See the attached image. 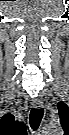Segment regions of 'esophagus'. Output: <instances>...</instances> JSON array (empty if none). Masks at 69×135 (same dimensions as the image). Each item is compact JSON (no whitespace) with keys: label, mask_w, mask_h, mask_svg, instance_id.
I'll list each match as a JSON object with an SVG mask.
<instances>
[{"label":"esophagus","mask_w":69,"mask_h":135,"mask_svg":"<svg viewBox=\"0 0 69 135\" xmlns=\"http://www.w3.org/2000/svg\"><path fill=\"white\" fill-rule=\"evenodd\" d=\"M32 105H33V107H35V108H42L44 104H43V102L40 101V100H34V101L32 102Z\"/></svg>","instance_id":"esophagus-1"}]
</instances>
